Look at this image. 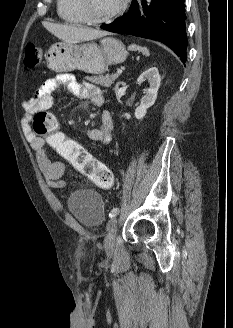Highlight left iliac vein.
Listing matches in <instances>:
<instances>
[{
  "mask_svg": "<svg viewBox=\"0 0 233 328\" xmlns=\"http://www.w3.org/2000/svg\"><path fill=\"white\" fill-rule=\"evenodd\" d=\"M117 225H118L117 218H112L107 225L108 233L104 240V246L107 253H111L114 249Z\"/></svg>",
  "mask_w": 233,
  "mask_h": 328,
  "instance_id": "left-iliac-vein-1",
  "label": "left iliac vein"
}]
</instances>
